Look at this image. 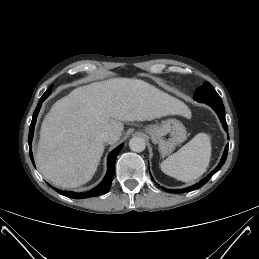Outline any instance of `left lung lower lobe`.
Here are the masks:
<instances>
[{
	"label": "left lung lower lobe",
	"mask_w": 259,
	"mask_h": 259,
	"mask_svg": "<svg viewBox=\"0 0 259 259\" xmlns=\"http://www.w3.org/2000/svg\"><path fill=\"white\" fill-rule=\"evenodd\" d=\"M204 103H207L208 105H210L216 111V113L218 114V116H219V118H220V120L223 124L224 129L226 131H228L227 123L225 121V109H224V105H223L222 101H219V102H204ZM227 153H228V145L226 146V148L224 150V153H223V156H222V159H221L219 165L215 168V170H213L211 173H209L199 183H197V184H195L191 187H188L186 189H183V190H180V189H177V190L168 189L167 190L165 188H164V190L168 191L170 193H180V192L191 191V190L198 189V188L202 187L218 171V169L225 163V160L227 158ZM152 180H153V178H152ZM156 185H158V184L156 183Z\"/></svg>",
	"instance_id": "0a47b994"
}]
</instances>
